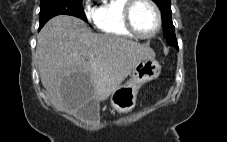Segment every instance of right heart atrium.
Here are the masks:
<instances>
[{
  "label": "right heart atrium",
  "mask_w": 227,
  "mask_h": 142,
  "mask_svg": "<svg viewBox=\"0 0 227 142\" xmlns=\"http://www.w3.org/2000/svg\"><path fill=\"white\" fill-rule=\"evenodd\" d=\"M84 14L87 19L94 20L95 9L92 6V0H84Z\"/></svg>",
  "instance_id": "d8ad5b80"
}]
</instances>
